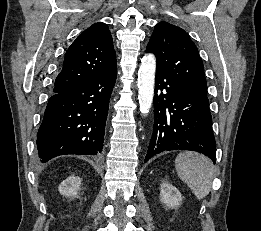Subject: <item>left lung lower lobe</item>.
<instances>
[{"label":"left lung lower lobe","mask_w":261,"mask_h":231,"mask_svg":"<svg viewBox=\"0 0 261 231\" xmlns=\"http://www.w3.org/2000/svg\"><path fill=\"white\" fill-rule=\"evenodd\" d=\"M169 150L197 151L215 162L212 117L208 101L190 95L156 69L153 134L144 162Z\"/></svg>","instance_id":"obj_1"}]
</instances>
